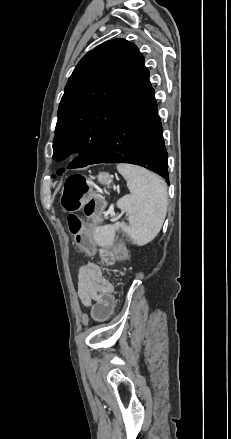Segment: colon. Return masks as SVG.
<instances>
[{"label": "colon", "mask_w": 231, "mask_h": 439, "mask_svg": "<svg viewBox=\"0 0 231 439\" xmlns=\"http://www.w3.org/2000/svg\"><path fill=\"white\" fill-rule=\"evenodd\" d=\"M88 185L86 178L82 175L69 177L63 187L61 204L69 213L67 218L70 233L75 237L76 244L87 254V260L96 259L98 252L95 250L92 234L85 231L81 218L75 213L83 209L87 217L93 218L97 224H104L102 208L98 200L94 197L86 200ZM119 257L124 259L126 251L122 245L119 247ZM117 294L107 289L102 290L96 296V303L91 309L92 320L96 323L109 321L116 311Z\"/></svg>", "instance_id": "obj_1"}]
</instances>
